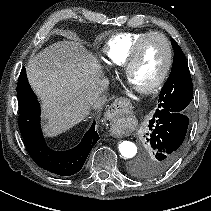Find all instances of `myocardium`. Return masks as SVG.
I'll use <instances>...</instances> for the list:
<instances>
[{
	"label": "myocardium",
	"instance_id": "myocardium-1",
	"mask_svg": "<svg viewBox=\"0 0 211 211\" xmlns=\"http://www.w3.org/2000/svg\"><path fill=\"white\" fill-rule=\"evenodd\" d=\"M153 36H158L164 41V43L166 45V49H167V61H166V64H165L161 74L159 75V77L156 79L155 82H153L150 86L145 87V88H135L138 92H140L142 94H152V93L156 92L166 81V79L171 71V67H172V63H173V49H172L170 40L167 38V36L165 34H163L161 32L151 31V32L144 34L141 38H139V40L133 46L131 54L124 65L125 79L129 82L130 73L139 58V54H140V51H141V48H142L144 42L148 38L153 37Z\"/></svg>",
	"mask_w": 211,
	"mask_h": 211
}]
</instances>
